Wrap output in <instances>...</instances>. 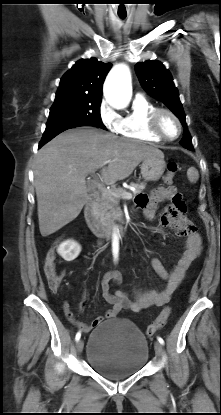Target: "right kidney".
Segmentation results:
<instances>
[{"label": "right kidney", "instance_id": "1", "mask_svg": "<svg viewBox=\"0 0 221 415\" xmlns=\"http://www.w3.org/2000/svg\"><path fill=\"white\" fill-rule=\"evenodd\" d=\"M58 254L66 261H73L81 252V246L74 240H66L57 248Z\"/></svg>", "mask_w": 221, "mask_h": 415}]
</instances>
